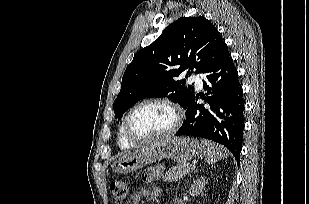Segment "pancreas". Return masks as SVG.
Segmentation results:
<instances>
[{"label": "pancreas", "instance_id": "cf45deb5", "mask_svg": "<svg viewBox=\"0 0 309 204\" xmlns=\"http://www.w3.org/2000/svg\"><path fill=\"white\" fill-rule=\"evenodd\" d=\"M192 168L190 167V164L188 163H180L177 166L172 167L171 169H169L164 177L163 180L164 181H176L180 178H182L183 176H185L186 174H188L190 172Z\"/></svg>", "mask_w": 309, "mask_h": 204}]
</instances>
